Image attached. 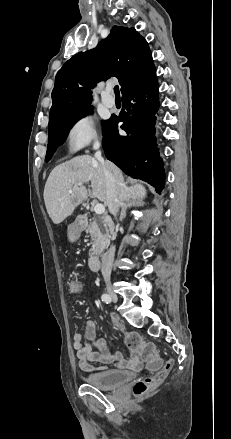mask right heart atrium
Instances as JSON below:
<instances>
[{
    "label": "right heart atrium",
    "instance_id": "1",
    "mask_svg": "<svg viewBox=\"0 0 231 439\" xmlns=\"http://www.w3.org/2000/svg\"><path fill=\"white\" fill-rule=\"evenodd\" d=\"M66 142L70 152H77L90 145H97L99 137L93 118L88 115L76 118L68 128Z\"/></svg>",
    "mask_w": 231,
    "mask_h": 439
}]
</instances>
